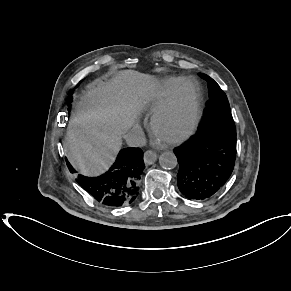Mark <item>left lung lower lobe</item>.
Returning a JSON list of instances; mask_svg holds the SVG:
<instances>
[{"mask_svg": "<svg viewBox=\"0 0 291 291\" xmlns=\"http://www.w3.org/2000/svg\"><path fill=\"white\" fill-rule=\"evenodd\" d=\"M236 152V135L199 130L176 148L177 183L183 196L205 200L216 195L232 174Z\"/></svg>", "mask_w": 291, "mask_h": 291, "instance_id": "left-lung-lower-lobe-1", "label": "left lung lower lobe"}]
</instances>
